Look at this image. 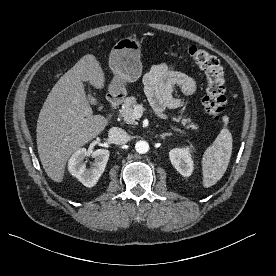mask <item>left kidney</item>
Returning <instances> with one entry per match:
<instances>
[{"instance_id": "left-kidney-1", "label": "left kidney", "mask_w": 276, "mask_h": 276, "mask_svg": "<svg viewBox=\"0 0 276 276\" xmlns=\"http://www.w3.org/2000/svg\"><path fill=\"white\" fill-rule=\"evenodd\" d=\"M169 157L174 168L184 177H189L194 168L191 148H174L170 150Z\"/></svg>"}]
</instances>
